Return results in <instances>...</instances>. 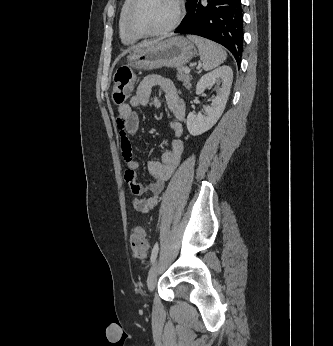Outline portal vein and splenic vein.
<instances>
[{"label":"portal vein and splenic vein","instance_id":"portal-vein-and-splenic-vein-1","mask_svg":"<svg viewBox=\"0 0 333 346\" xmlns=\"http://www.w3.org/2000/svg\"><path fill=\"white\" fill-rule=\"evenodd\" d=\"M184 71H185V73H187V74L190 73V69H189L188 67H186V68L184 69Z\"/></svg>","mask_w":333,"mask_h":346}]
</instances>
